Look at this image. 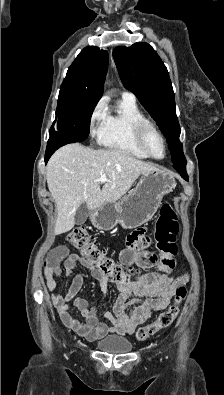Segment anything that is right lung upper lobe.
<instances>
[{"mask_svg": "<svg viewBox=\"0 0 224 395\" xmlns=\"http://www.w3.org/2000/svg\"><path fill=\"white\" fill-rule=\"evenodd\" d=\"M107 68V51L86 47L69 67L61 87L101 97Z\"/></svg>", "mask_w": 224, "mask_h": 395, "instance_id": "obj_1", "label": "right lung upper lobe"}]
</instances>
